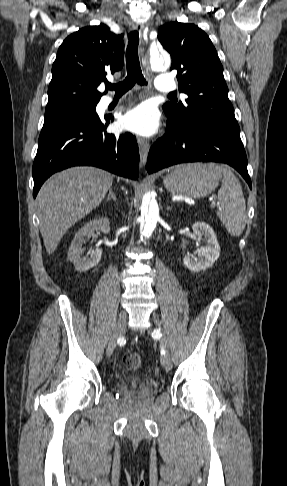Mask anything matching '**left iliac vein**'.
<instances>
[{"label": "left iliac vein", "instance_id": "1", "mask_svg": "<svg viewBox=\"0 0 287 486\" xmlns=\"http://www.w3.org/2000/svg\"><path fill=\"white\" fill-rule=\"evenodd\" d=\"M154 323L158 326L155 331V335L160 338L161 345L164 348V355L162 356V366L166 371L171 370L172 368V361L169 354V345L168 341L165 337L162 336L161 328H160V321L158 318H154Z\"/></svg>", "mask_w": 287, "mask_h": 486}]
</instances>
